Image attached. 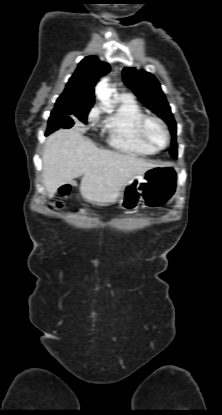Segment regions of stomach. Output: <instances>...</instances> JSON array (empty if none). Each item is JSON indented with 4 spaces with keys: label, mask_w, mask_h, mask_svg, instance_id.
<instances>
[{
    "label": "stomach",
    "mask_w": 222,
    "mask_h": 415,
    "mask_svg": "<svg viewBox=\"0 0 222 415\" xmlns=\"http://www.w3.org/2000/svg\"><path fill=\"white\" fill-rule=\"evenodd\" d=\"M179 170L174 164H162L130 178L122 187L119 206L136 210L141 203L159 207L169 203L177 194Z\"/></svg>",
    "instance_id": "obj_1"
}]
</instances>
